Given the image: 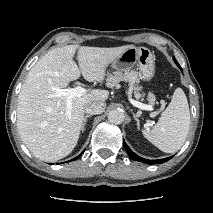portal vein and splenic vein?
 Instances as JSON below:
<instances>
[{"instance_id": "18ae733b", "label": "portal vein and splenic vein", "mask_w": 213, "mask_h": 213, "mask_svg": "<svg viewBox=\"0 0 213 213\" xmlns=\"http://www.w3.org/2000/svg\"><path fill=\"white\" fill-rule=\"evenodd\" d=\"M53 91H55V96L56 97H61L64 96L66 97V101H67V109L70 110L72 107V99L74 97H81L86 93V89L81 87V86H77L76 88H67V89H60L57 87H53L52 88ZM132 104L136 107H139L141 109H146V110H150L151 107L150 106H146L143 105L139 102H136L134 100H132Z\"/></svg>"}]
</instances>
